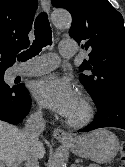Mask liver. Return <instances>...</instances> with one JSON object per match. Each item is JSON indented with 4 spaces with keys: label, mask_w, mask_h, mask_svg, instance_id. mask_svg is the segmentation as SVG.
<instances>
[{
    "label": "liver",
    "mask_w": 125,
    "mask_h": 167,
    "mask_svg": "<svg viewBox=\"0 0 125 167\" xmlns=\"http://www.w3.org/2000/svg\"><path fill=\"white\" fill-rule=\"evenodd\" d=\"M30 147L19 128L0 121V164L20 167L26 160ZM34 148L38 158H42L45 153L43 144L38 141Z\"/></svg>",
    "instance_id": "obj_1"
}]
</instances>
